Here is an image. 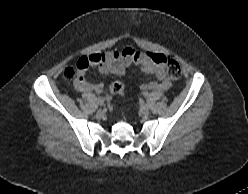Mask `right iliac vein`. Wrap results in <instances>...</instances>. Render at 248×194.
I'll list each match as a JSON object with an SVG mask.
<instances>
[{"mask_svg":"<svg viewBox=\"0 0 248 194\" xmlns=\"http://www.w3.org/2000/svg\"><path fill=\"white\" fill-rule=\"evenodd\" d=\"M97 104H98L99 106H103V105H104V100H103L102 98H98V99H97Z\"/></svg>","mask_w":248,"mask_h":194,"instance_id":"obj_1","label":"right iliac vein"}]
</instances>
